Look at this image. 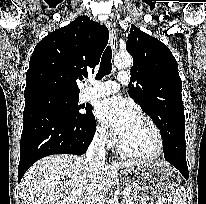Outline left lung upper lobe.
Listing matches in <instances>:
<instances>
[{"label":"left lung upper lobe","instance_id":"5c2ea615","mask_svg":"<svg viewBox=\"0 0 206 204\" xmlns=\"http://www.w3.org/2000/svg\"><path fill=\"white\" fill-rule=\"evenodd\" d=\"M126 49L133 57L130 97L153 119L162 139L176 131L184 133L182 82L169 48L131 25Z\"/></svg>","mask_w":206,"mask_h":204}]
</instances>
